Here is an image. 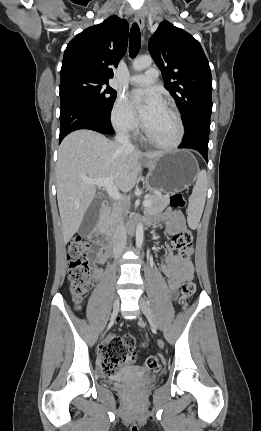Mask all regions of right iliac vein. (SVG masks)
Listing matches in <instances>:
<instances>
[{
	"mask_svg": "<svg viewBox=\"0 0 261 431\" xmlns=\"http://www.w3.org/2000/svg\"><path fill=\"white\" fill-rule=\"evenodd\" d=\"M119 303H120L119 298L116 297L114 305H113V310H112V313H111V319H113V318L116 317V315L118 313V309H119Z\"/></svg>",
	"mask_w": 261,
	"mask_h": 431,
	"instance_id": "obj_1",
	"label": "right iliac vein"
}]
</instances>
